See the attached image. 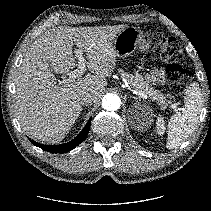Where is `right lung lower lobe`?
I'll use <instances>...</instances> for the list:
<instances>
[{
	"label": "right lung lower lobe",
	"instance_id": "obj_1",
	"mask_svg": "<svg viewBox=\"0 0 211 211\" xmlns=\"http://www.w3.org/2000/svg\"><path fill=\"white\" fill-rule=\"evenodd\" d=\"M90 125H91V118L89 119V121L87 122L85 128L80 132V134H78L77 137H75L73 140L65 143V144H61V145H43L40 143H37L33 140L30 139L31 143L47 152H51V153H64V152H68L72 149H74L77 145H79L87 136L89 129H90Z\"/></svg>",
	"mask_w": 211,
	"mask_h": 211
}]
</instances>
